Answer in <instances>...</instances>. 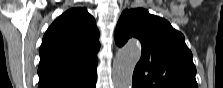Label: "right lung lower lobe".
I'll use <instances>...</instances> for the list:
<instances>
[{"label":"right lung lower lobe","instance_id":"right-lung-lower-lobe-1","mask_svg":"<svg viewBox=\"0 0 223 88\" xmlns=\"http://www.w3.org/2000/svg\"><path fill=\"white\" fill-rule=\"evenodd\" d=\"M95 84H96V81L91 86H89L88 88H95Z\"/></svg>","mask_w":223,"mask_h":88}]
</instances>
